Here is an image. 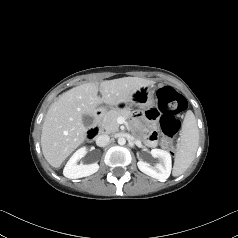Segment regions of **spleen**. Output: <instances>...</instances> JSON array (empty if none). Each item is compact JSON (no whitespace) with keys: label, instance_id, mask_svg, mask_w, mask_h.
Returning <instances> with one entry per match:
<instances>
[{"label":"spleen","instance_id":"spleen-1","mask_svg":"<svg viewBox=\"0 0 238 238\" xmlns=\"http://www.w3.org/2000/svg\"><path fill=\"white\" fill-rule=\"evenodd\" d=\"M181 142L177 146L173 175L183 174L193 162L199 143V130L192 111H187L181 130Z\"/></svg>","mask_w":238,"mask_h":238}]
</instances>
